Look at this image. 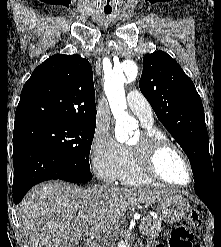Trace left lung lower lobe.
<instances>
[{
  "label": "left lung lower lobe",
  "instance_id": "left-lung-lower-lobe-1",
  "mask_svg": "<svg viewBox=\"0 0 221 247\" xmlns=\"http://www.w3.org/2000/svg\"><path fill=\"white\" fill-rule=\"evenodd\" d=\"M194 190L213 213L215 203L221 199V176L213 174L208 178L196 181Z\"/></svg>",
  "mask_w": 221,
  "mask_h": 247
}]
</instances>
